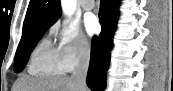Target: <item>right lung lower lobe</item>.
Wrapping results in <instances>:
<instances>
[{
  "mask_svg": "<svg viewBox=\"0 0 173 91\" xmlns=\"http://www.w3.org/2000/svg\"><path fill=\"white\" fill-rule=\"evenodd\" d=\"M119 0H101L99 19L102 31L92 41L87 84L92 91H103L110 62L113 33L117 27Z\"/></svg>",
  "mask_w": 173,
  "mask_h": 91,
  "instance_id": "98d812e1",
  "label": "right lung lower lobe"
}]
</instances>
